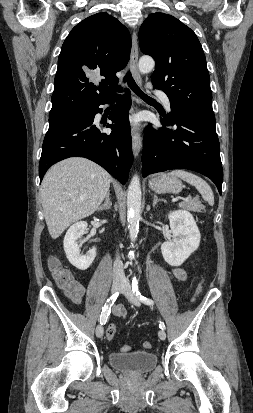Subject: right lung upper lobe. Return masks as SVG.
<instances>
[{
    "label": "right lung upper lobe",
    "instance_id": "obj_1",
    "mask_svg": "<svg viewBox=\"0 0 253 413\" xmlns=\"http://www.w3.org/2000/svg\"><path fill=\"white\" fill-rule=\"evenodd\" d=\"M130 50L129 31L108 13H97L76 25L58 58L49 117L85 110L111 96L116 72L126 66Z\"/></svg>",
    "mask_w": 253,
    "mask_h": 413
}]
</instances>
